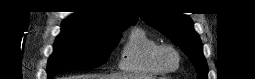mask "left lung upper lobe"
<instances>
[{
  "mask_svg": "<svg viewBox=\"0 0 255 79\" xmlns=\"http://www.w3.org/2000/svg\"><path fill=\"white\" fill-rule=\"evenodd\" d=\"M140 16L181 48L195 66L198 79H207L208 67L203 55L202 43L189 17L158 9L140 12Z\"/></svg>",
  "mask_w": 255,
  "mask_h": 79,
  "instance_id": "left-lung-upper-lobe-1",
  "label": "left lung upper lobe"
}]
</instances>
